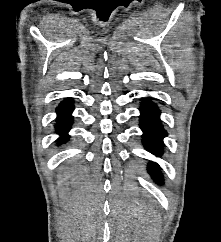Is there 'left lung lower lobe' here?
<instances>
[{
	"label": "left lung lower lobe",
	"instance_id": "0a47b994",
	"mask_svg": "<svg viewBox=\"0 0 221 242\" xmlns=\"http://www.w3.org/2000/svg\"><path fill=\"white\" fill-rule=\"evenodd\" d=\"M140 127L143 130V144L147 150L156 156L162 154V138L166 136V132L163 130L159 121L158 108L151 102H144L140 107ZM158 165H149V172L157 182L162 181V175L157 169Z\"/></svg>",
	"mask_w": 221,
	"mask_h": 242
}]
</instances>
